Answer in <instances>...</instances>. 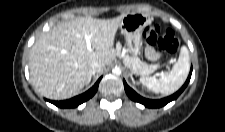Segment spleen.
<instances>
[{"label": "spleen", "instance_id": "1", "mask_svg": "<svg viewBox=\"0 0 225 132\" xmlns=\"http://www.w3.org/2000/svg\"><path fill=\"white\" fill-rule=\"evenodd\" d=\"M189 68V52L186 46H182L178 61L171 72L159 79L156 77H142L140 82L154 93L171 94L184 84Z\"/></svg>", "mask_w": 225, "mask_h": 132}]
</instances>
